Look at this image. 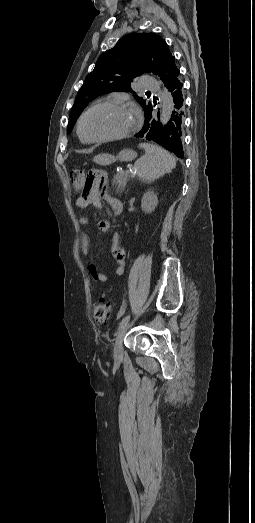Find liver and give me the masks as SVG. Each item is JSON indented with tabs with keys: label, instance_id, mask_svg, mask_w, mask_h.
Here are the masks:
<instances>
[{
	"label": "liver",
	"instance_id": "6515ba94",
	"mask_svg": "<svg viewBox=\"0 0 255 523\" xmlns=\"http://www.w3.org/2000/svg\"><path fill=\"white\" fill-rule=\"evenodd\" d=\"M104 156H106V154H102V156H95L93 162H97V164H103ZM111 160L114 162V158H111Z\"/></svg>",
	"mask_w": 255,
	"mask_h": 523
}]
</instances>
